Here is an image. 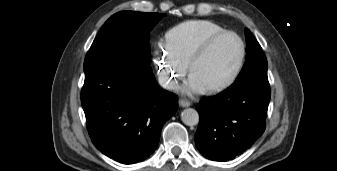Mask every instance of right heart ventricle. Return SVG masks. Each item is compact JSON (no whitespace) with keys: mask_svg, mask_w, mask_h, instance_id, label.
Masks as SVG:
<instances>
[{"mask_svg":"<svg viewBox=\"0 0 337 171\" xmlns=\"http://www.w3.org/2000/svg\"><path fill=\"white\" fill-rule=\"evenodd\" d=\"M223 31L225 28L210 20H188L166 33L165 45L178 59L188 65L201 43Z\"/></svg>","mask_w":337,"mask_h":171,"instance_id":"1","label":"right heart ventricle"}]
</instances>
